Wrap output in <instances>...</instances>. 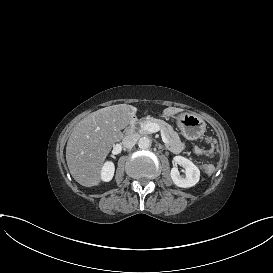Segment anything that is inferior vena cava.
Wrapping results in <instances>:
<instances>
[{
  "label": "inferior vena cava",
  "instance_id": "obj_1",
  "mask_svg": "<svg viewBox=\"0 0 273 273\" xmlns=\"http://www.w3.org/2000/svg\"><path fill=\"white\" fill-rule=\"evenodd\" d=\"M138 140L139 136L137 134H130L123 139L122 144L126 148H132Z\"/></svg>",
  "mask_w": 273,
  "mask_h": 273
}]
</instances>
